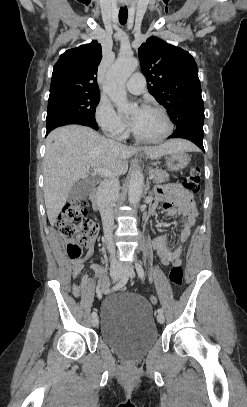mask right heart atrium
Returning a JSON list of instances; mask_svg holds the SVG:
<instances>
[{
    "label": "right heart atrium",
    "mask_w": 247,
    "mask_h": 407,
    "mask_svg": "<svg viewBox=\"0 0 247 407\" xmlns=\"http://www.w3.org/2000/svg\"><path fill=\"white\" fill-rule=\"evenodd\" d=\"M94 118L97 125L109 137L122 139L127 132V124L115 111L114 107L106 98H100L95 111Z\"/></svg>",
    "instance_id": "right-heart-atrium-1"
}]
</instances>
